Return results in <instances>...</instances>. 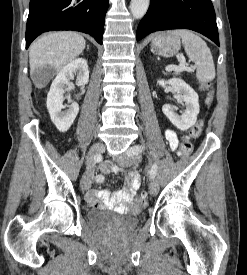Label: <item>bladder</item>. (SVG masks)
Segmentation results:
<instances>
[{
	"instance_id": "bladder-1",
	"label": "bladder",
	"mask_w": 247,
	"mask_h": 275,
	"mask_svg": "<svg viewBox=\"0 0 247 275\" xmlns=\"http://www.w3.org/2000/svg\"><path fill=\"white\" fill-rule=\"evenodd\" d=\"M88 220L92 225L96 226L118 225L130 228L137 224V214L126 213L122 219L118 220L113 216L112 212L106 209H97L88 212Z\"/></svg>"
}]
</instances>
